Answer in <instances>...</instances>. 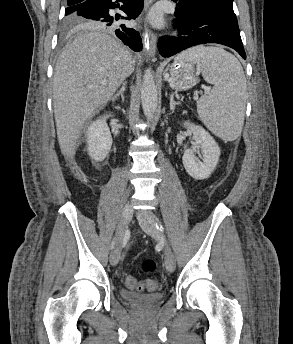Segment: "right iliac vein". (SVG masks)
<instances>
[{
	"mask_svg": "<svg viewBox=\"0 0 293 344\" xmlns=\"http://www.w3.org/2000/svg\"><path fill=\"white\" fill-rule=\"evenodd\" d=\"M133 215V208L130 204H127L122 211L120 222L118 225L117 236H116V243L111 251L110 254V263L115 266L119 262L120 259V244L121 238L123 233L129 224L130 220L132 219Z\"/></svg>",
	"mask_w": 293,
	"mask_h": 344,
	"instance_id": "1",
	"label": "right iliac vein"
}]
</instances>
